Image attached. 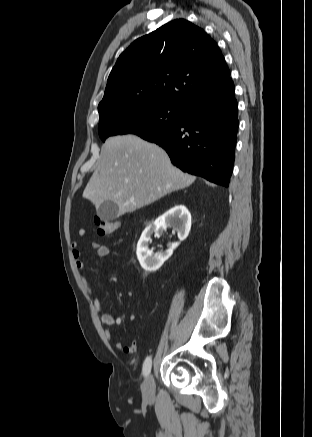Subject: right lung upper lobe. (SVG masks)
Segmentation results:
<instances>
[{
  "instance_id": "cb5924a9",
  "label": "right lung upper lobe",
  "mask_w": 312,
  "mask_h": 437,
  "mask_svg": "<svg viewBox=\"0 0 312 437\" xmlns=\"http://www.w3.org/2000/svg\"><path fill=\"white\" fill-rule=\"evenodd\" d=\"M230 79L216 42L203 29L177 19L135 40L120 55L98 105L99 115L134 103L185 108Z\"/></svg>"
}]
</instances>
